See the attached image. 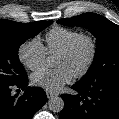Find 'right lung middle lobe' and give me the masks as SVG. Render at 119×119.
I'll use <instances>...</instances> for the list:
<instances>
[{"label": "right lung middle lobe", "instance_id": "right-lung-middle-lobe-1", "mask_svg": "<svg viewBox=\"0 0 119 119\" xmlns=\"http://www.w3.org/2000/svg\"><path fill=\"white\" fill-rule=\"evenodd\" d=\"M51 23L37 21L22 24L0 20V84L17 83L27 75L19 61L18 49Z\"/></svg>", "mask_w": 119, "mask_h": 119}]
</instances>
